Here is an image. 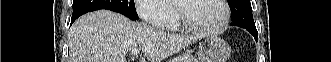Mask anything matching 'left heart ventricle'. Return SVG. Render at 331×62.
<instances>
[{
  "mask_svg": "<svg viewBox=\"0 0 331 62\" xmlns=\"http://www.w3.org/2000/svg\"><path fill=\"white\" fill-rule=\"evenodd\" d=\"M188 21L200 28L219 26L223 18V7L218 0H189L182 3Z\"/></svg>",
  "mask_w": 331,
  "mask_h": 62,
  "instance_id": "b2bd125f",
  "label": "left heart ventricle"
}]
</instances>
